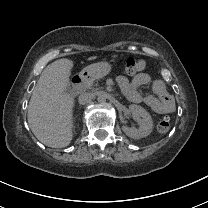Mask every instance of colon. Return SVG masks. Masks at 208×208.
Instances as JSON below:
<instances>
[{
    "label": "colon",
    "instance_id": "colon-1",
    "mask_svg": "<svg viewBox=\"0 0 208 208\" xmlns=\"http://www.w3.org/2000/svg\"><path fill=\"white\" fill-rule=\"evenodd\" d=\"M147 62L145 59L136 56V55H129L125 60V70L126 74L131 76L138 72H141L145 69ZM171 118L164 117L158 123V130L160 132H167L171 128Z\"/></svg>",
    "mask_w": 208,
    "mask_h": 208
}]
</instances>
